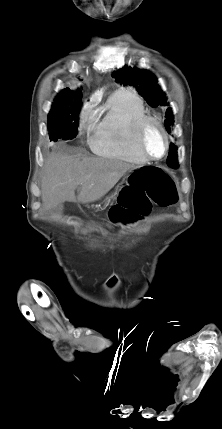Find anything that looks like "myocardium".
Listing matches in <instances>:
<instances>
[{
	"label": "myocardium",
	"instance_id": "f54148a6",
	"mask_svg": "<svg viewBox=\"0 0 222 429\" xmlns=\"http://www.w3.org/2000/svg\"><path fill=\"white\" fill-rule=\"evenodd\" d=\"M150 123L155 124L159 128V130L161 131V133L164 137V140H165V150H164V153L160 157L152 156L144 147V143H143L144 132L146 130V127ZM135 142H136V146H137L139 152L148 161L162 160L167 155V153L169 152V149H170V139H169L168 132L166 131V129L163 126V124L161 123V121L157 117L152 116V115L145 114L141 118H139V120L137 121L136 130H135Z\"/></svg>",
	"mask_w": 222,
	"mask_h": 429
}]
</instances>
